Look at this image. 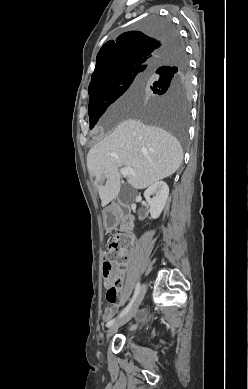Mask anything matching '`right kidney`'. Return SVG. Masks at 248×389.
I'll return each mask as SVG.
<instances>
[{
	"label": "right kidney",
	"instance_id": "ca27d5eb",
	"mask_svg": "<svg viewBox=\"0 0 248 389\" xmlns=\"http://www.w3.org/2000/svg\"><path fill=\"white\" fill-rule=\"evenodd\" d=\"M152 195H155L151 198ZM169 195V187L163 181L151 185L145 192L144 197L149 204L152 219H157L162 213Z\"/></svg>",
	"mask_w": 248,
	"mask_h": 389
}]
</instances>
